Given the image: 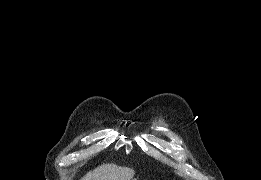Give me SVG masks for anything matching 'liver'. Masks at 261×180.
<instances>
[{"label":"liver","mask_w":261,"mask_h":180,"mask_svg":"<svg viewBox=\"0 0 261 180\" xmlns=\"http://www.w3.org/2000/svg\"><path fill=\"white\" fill-rule=\"evenodd\" d=\"M134 170L130 168H115V166H100L94 172H88L82 180H131Z\"/></svg>","instance_id":"liver-1"}]
</instances>
